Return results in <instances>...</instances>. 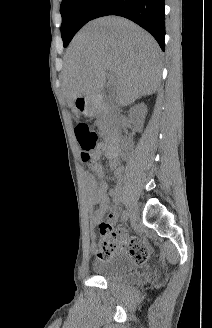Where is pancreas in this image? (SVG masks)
<instances>
[{
  "instance_id": "cf45deb5",
  "label": "pancreas",
  "mask_w": 212,
  "mask_h": 328,
  "mask_svg": "<svg viewBox=\"0 0 212 328\" xmlns=\"http://www.w3.org/2000/svg\"><path fill=\"white\" fill-rule=\"evenodd\" d=\"M95 123L98 126L100 131H104L106 129L107 121H106V117L104 115H102V114L98 115Z\"/></svg>"
}]
</instances>
